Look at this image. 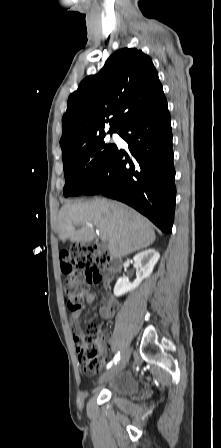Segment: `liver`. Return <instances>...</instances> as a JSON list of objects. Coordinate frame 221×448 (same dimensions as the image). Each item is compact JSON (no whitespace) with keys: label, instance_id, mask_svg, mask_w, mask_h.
I'll return each mask as SVG.
<instances>
[{"label":"liver","instance_id":"6515ba94","mask_svg":"<svg viewBox=\"0 0 221 448\" xmlns=\"http://www.w3.org/2000/svg\"><path fill=\"white\" fill-rule=\"evenodd\" d=\"M81 228L76 229V226ZM99 230L113 257H125L150 246L156 238L150 222L127 205L106 199L65 204L58 215L62 242L89 243Z\"/></svg>","mask_w":221,"mask_h":448}]
</instances>
